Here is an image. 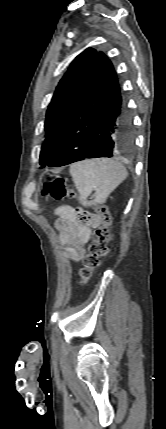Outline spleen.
<instances>
[{"label":"spleen","instance_id":"1","mask_svg":"<svg viewBox=\"0 0 166 429\" xmlns=\"http://www.w3.org/2000/svg\"><path fill=\"white\" fill-rule=\"evenodd\" d=\"M70 174L84 207L103 204L108 196L126 179L125 166L113 159H88L70 166ZM93 201H88L92 191Z\"/></svg>","mask_w":166,"mask_h":429}]
</instances>
